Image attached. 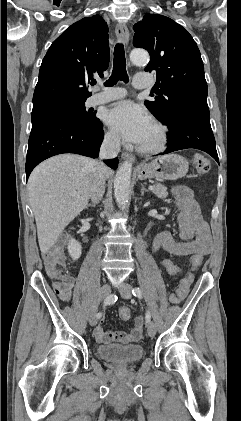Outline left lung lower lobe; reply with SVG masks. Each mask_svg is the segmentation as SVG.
I'll return each instance as SVG.
<instances>
[{
    "mask_svg": "<svg viewBox=\"0 0 241 421\" xmlns=\"http://www.w3.org/2000/svg\"><path fill=\"white\" fill-rule=\"evenodd\" d=\"M167 138L168 147L162 154L195 148L210 154L219 163L208 108L196 107L185 114L176 131Z\"/></svg>",
    "mask_w": 241,
    "mask_h": 421,
    "instance_id": "0a47b994",
    "label": "left lung lower lobe"
}]
</instances>
